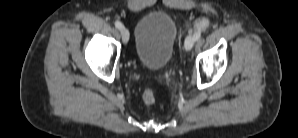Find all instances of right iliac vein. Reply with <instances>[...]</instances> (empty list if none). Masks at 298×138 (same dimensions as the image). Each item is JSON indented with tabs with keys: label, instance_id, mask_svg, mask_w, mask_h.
I'll return each mask as SVG.
<instances>
[{
	"label": "right iliac vein",
	"instance_id": "right-iliac-vein-1",
	"mask_svg": "<svg viewBox=\"0 0 298 138\" xmlns=\"http://www.w3.org/2000/svg\"><path fill=\"white\" fill-rule=\"evenodd\" d=\"M121 35L124 42H127L129 39V31L126 28L121 29Z\"/></svg>",
	"mask_w": 298,
	"mask_h": 138
}]
</instances>
